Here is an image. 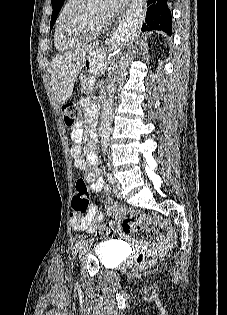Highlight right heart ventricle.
<instances>
[{"instance_id":"e07e8e85","label":"right heart ventricle","mask_w":227,"mask_h":315,"mask_svg":"<svg viewBox=\"0 0 227 315\" xmlns=\"http://www.w3.org/2000/svg\"><path fill=\"white\" fill-rule=\"evenodd\" d=\"M79 2V0H65L64 5L62 6L57 21H56V27H55V33H54V43L55 47L60 50L64 51L69 48H71L74 45L66 43L61 35V26L69 14V12L73 9V7Z\"/></svg>"}]
</instances>
